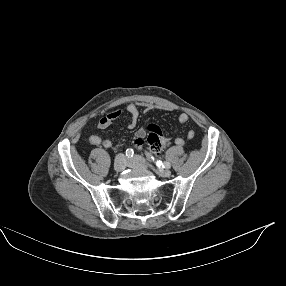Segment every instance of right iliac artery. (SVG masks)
I'll return each mask as SVG.
<instances>
[{
  "instance_id": "1",
  "label": "right iliac artery",
  "mask_w": 286,
  "mask_h": 286,
  "mask_svg": "<svg viewBox=\"0 0 286 286\" xmlns=\"http://www.w3.org/2000/svg\"><path fill=\"white\" fill-rule=\"evenodd\" d=\"M125 153H126V156L128 158H132L133 154H134V151H133V149H127Z\"/></svg>"
}]
</instances>
